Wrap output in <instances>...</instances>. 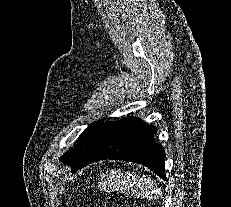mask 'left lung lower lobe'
Listing matches in <instances>:
<instances>
[{
  "instance_id": "left-lung-lower-lobe-1",
  "label": "left lung lower lobe",
  "mask_w": 231,
  "mask_h": 207,
  "mask_svg": "<svg viewBox=\"0 0 231 207\" xmlns=\"http://www.w3.org/2000/svg\"><path fill=\"white\" fill-rule=\"evenodd\" d=\"M155 132L156 127L145 124L138 117L105 122L72 172L95 161L115 159L145 165L167 180L165 152L163 147L155 142Z\"/></svg>"
}]
</instances>
